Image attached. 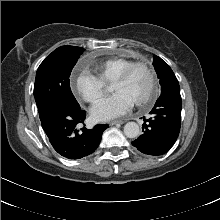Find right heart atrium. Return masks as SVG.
<instances>
[{"label":"right heart atrium","instance_id":"obj_1","mask_svg":"<svg viewBox=\"0 0 220 220\" xmlns=\"http://www.w3.org/2000/svg\"><path fill=\"white\" fill-rule=\"evenodd\" d=\"M72 90L85 102L94 104L104 94V83L89 72L82 71L72 81Z\"/></svg>","mask_w":220,"mask_h":220}]
</instances>
